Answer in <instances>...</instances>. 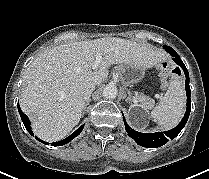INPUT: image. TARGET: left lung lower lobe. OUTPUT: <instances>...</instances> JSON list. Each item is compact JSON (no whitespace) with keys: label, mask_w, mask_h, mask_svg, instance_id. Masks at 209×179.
Instances as JSON below:
<instances>
[{"label":"left lung lower lobe","mask_w":209,"mask_h":179,"mask_svg":"<svg viewBox=\"0 0 209 179\" xmlns=\"http://www.w3.org/2000/svg\"><path fill=\"white\" fill-rule=\"evenodd\" d=\"M165 50L173 56V60L178 64L184 71L186 76L185 86L187 93V109L182 121L173 129L165 132H156V133H140L132 128H130L127 122L124 119V124L128 135L135 140V142L143 147L147 148H157L168 142L169 139H174L180 131L184 128L191 111V90L189 86V73L184 63L178 56V54L169 46H164Z\"/></svg>","instance_id":"obj_1"}]
</instances>
